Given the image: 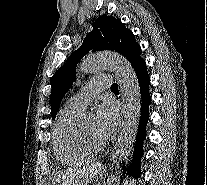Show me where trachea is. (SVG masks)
Segmentation results:
<instances>
[{
    "mask_svg": "<svg viewBox=\"0 0 207 185\" xmlns=\"http://www.w3.org/2000/svg\"><path fill=\"white\" fill-rule=\"evenodd\" d=\"M111 90H118V85H117V83H113V84L111 85Z\"/></svg>",
    "mask_w": 207,
    "mask_h": 185,
    "instance_id": "obj_1",
    "label": "trachea"
}]
</instances>
